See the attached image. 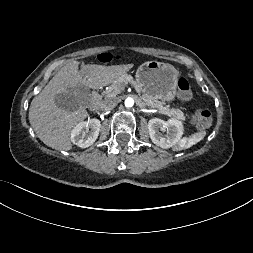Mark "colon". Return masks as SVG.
<instances>
[{
	"instance_id": "5ec220e1",
	"label": "colon",
	"mask_w": 253,
	"mask_h": 253,
	"mask_svg": "<svg viewBox=\"0 0 253 253\" xmlns=\"http://www.w3.org/2000/svg\"><path fill=\"white\" fill-rule=\"evenodd\" d=\"M97 60L101 63H107L111 60V56L109 53H100L97 55ZM178 92L180 96L186 100H190L192 98V90L189 81L181 77L178 80ZM212 114L207 108H198L193 116V123L198 128H206L211 124Z\"/></svg>"
}]
</instances>
